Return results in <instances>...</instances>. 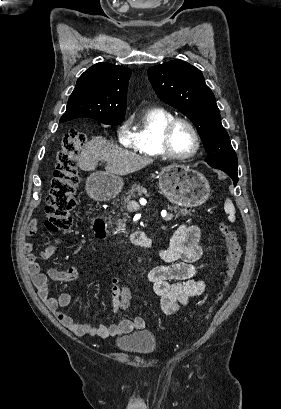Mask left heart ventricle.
Returning a JSON list of instances; mask_svg holds the SVG:
<instances>
[{
	"instance_id": "b2bd125f",
	"label": "left heart ventricle",
	"mask_w": 281,
	"mask_h": 409,
	"mask_svg": "<svg viewBox=\"0 0 281 409\" xmlns=\"http://www.w3.org/2000/svg\"><path fill=\"white\" fill-rule=\"evenodd\" d=\"M173 150L181 155H186L194 150L195 142L193 135L184 125H178L172 135Z\"/></svg>"
}]
</instances>
